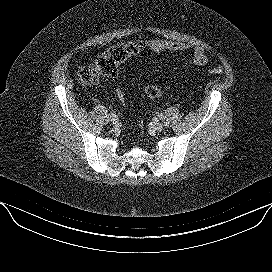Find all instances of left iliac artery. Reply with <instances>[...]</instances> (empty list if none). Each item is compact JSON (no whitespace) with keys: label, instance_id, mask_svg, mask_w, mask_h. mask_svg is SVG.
Instances as JSON below:
<instances>
[{"label":"left iliac artery","instance_id":"obj_1","mask_svg":"<svg viewBox=\"0 0 272 272\" xmlns=\"http://www.w3.org/2000/svg\"><path fill=\"white\" fill-rule=\"evenodd\" d=\"M158 117H159L160 119H163V118H164V116H163L162 113H159V114H158Z\"/></svg>","mask_w":272,"mask_h":272}]
</instances>
